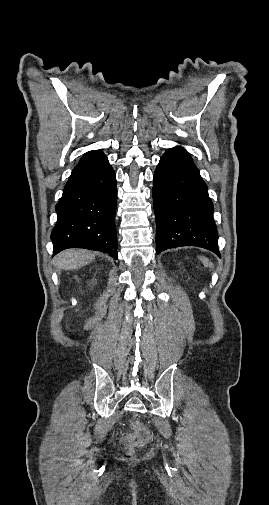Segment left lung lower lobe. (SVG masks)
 Wrapping results in <instances>:
<instances>
[{
  "mask_svg": "<svg viewBox=\"0 0 269 505\" xmlns=\"http://www.w3.org/2000/svg\"><path fill=\"white\" fill-rule=\"evenodd\" d=\"M156 253L197 246L218 256V234L207 186L191 156L181 147L161 157L153 181Z\"/></svg>",
  "mask_w": 269,
  "mask_h": 505,
  "instance_id": "1",
  "label": "left lung lower lobe"
}]
</instances>
